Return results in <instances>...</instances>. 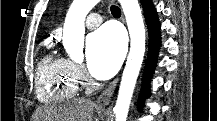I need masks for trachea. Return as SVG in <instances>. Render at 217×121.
I'll use <instances>...</instances> for the list:
<instances>
[{
	"label": "trachea",
	"mask_w": 217,
	"mask_h": 121,
	"mask_svg": "<svg viewBox=\"0 0 217 121\" xmlns=\"http://www.w3.org/2000/svg\"><path fill=\"white\" fill-rule=\"evenodd\" d=\"M111 13L113 16H120L121 15V10L118 6L112 5L111 6Z\"/></svg>",
	"instance_id": "1"
}]
</instances>
